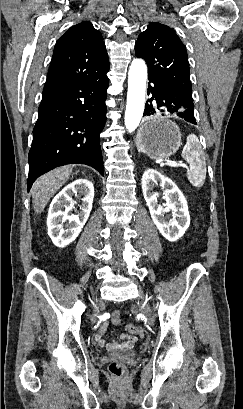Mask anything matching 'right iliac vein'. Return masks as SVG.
Wrapping results in <instances>:
<instances>
[{
  "instance_id": "63e3f726",
  "label": "right iliac vein",
  "mask_w": 243,
  "mask_h": 409,
  "mask_svg": "<svg viewBox=\"0 0 243 409\" xmlns=\"http://www.w3.org/2000/svg\"><path fill=\"white\" fill-rule=\"evenodd\" d=\"M92 321H95V319H94V318H92Z\"/></svg>"
}]
</instances>
